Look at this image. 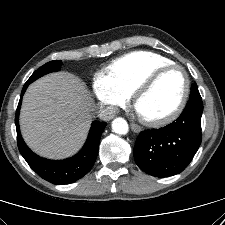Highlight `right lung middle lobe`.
Masks as SVG:
<instances>
[{
    "mask_svg": "<svg viewBox=\"0 0 225 225\" xmlns=\"http://www.w3.org/2000/svg\"><path fill=\"white\" fill-rule=\"evenodd\" d=\"M61 68V64L59 61H50L46 64H44L42 67H40L38 70H36L31 77L28 79L30 83H32L34 80L37 78L50 73V72H55L59 71Z\"/></svg>",
    "mask_w": 225,
    "mask_h": 225,
    "instance_id": "obj_1",
    "label": "right lung middle lobe"
}]
</instances>
